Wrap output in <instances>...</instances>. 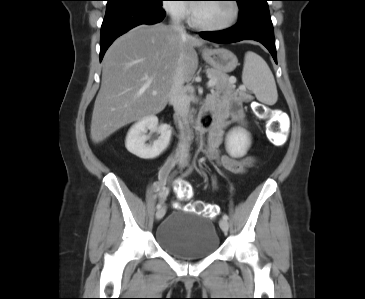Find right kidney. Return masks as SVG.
Returning <instances> with one entry per match:
<instances>
[{"label":"right kidney","instance_id":"obj_1","mask_svg":"<svg viewBox=\"0 0 365 299\" xmlns=\"http://www.w3.org/2000/svg\"><path fill=\"white\" fill-rule=\"evenodd\" d=\"M155 131L159 138L150 144H146L149 137L147 131ZM172 130L167 124L158 127V118L150 115L136 122L129 130L125 146L127 150L142 159H154L169 146Z\"/></svg>","mask_w":365,"mask_h":299}]
</instances>
